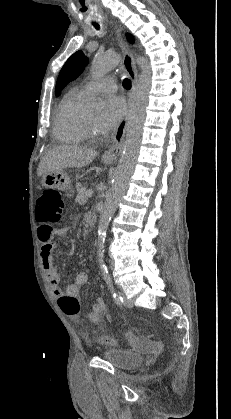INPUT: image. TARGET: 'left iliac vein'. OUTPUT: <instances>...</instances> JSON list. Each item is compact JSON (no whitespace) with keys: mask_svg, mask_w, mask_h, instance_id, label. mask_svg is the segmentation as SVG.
I'll return each mask as SVG.
<instances>
[{"mask_svg":"<svg viewBox=\"0 0 231 419\" xmlns=\"http://www.w3.org/2000/svg\"><path fill=\"white\" fill-rule=\"evenodd\" d=\"M122 295V297H123V299H124V305L126 306V307H128V308H131V307H133V304L126 298V296H125V294L124 293H122L121 294Z\"/></svg>","mask_w":231,"mask_h":419,"instance_id":"4c4485c4","label":"left iliac vein"}]
</instances>
